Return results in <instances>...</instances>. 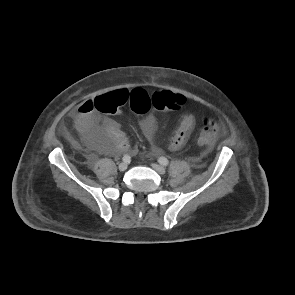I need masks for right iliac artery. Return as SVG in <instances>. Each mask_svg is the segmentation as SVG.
Instances as JSON below:
<instances>
[{
    "mask_svg": "<svg viewBox=\"0 0 295 295\" xmlns=\"http://www.w3.org/2000/svg\"><path fill=\"white\" fill-rule=\"evenodd\" d=\"M122 159L125 163H129L131 161V157L129 155H124Z\"/></svg>",
    "mask_w": 295,
    "mask_h": 295,
    "instance_id": "right-iliac-artery-1",
    "label": "right iliac artery"
}]
</instances>
